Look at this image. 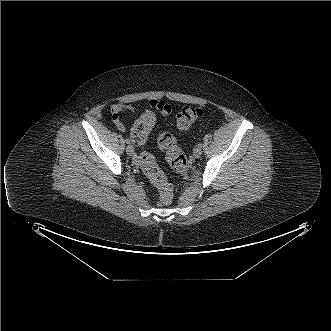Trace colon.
Wrapping results in <instances>:
<instances>
[{"mask_svg":"<svg viewBox=\"0 0 331 331\" xmlns=\"http://www.w3.org/2000/svg\"><path fill=\"white\" fill-rule=\"evenodd\" d=\"M202 116V110L194 106H185L178 112L176 121L181 129L190 127L196 120ZM156 121V115L152 111H145L134 123L132 128V141L136 145L144 144L150 131ZM158 146L165 153L167 161L175 171H184L188 166V160L185 154L180 149L175 137L163 132L158 136ZM140 163L144 174L148 177L151 183L158 189V203L167 205L173 199V189L167 181L166 176L158 167L154 158L143 153L140 157Z\"/></svg>","mask_w":331,"mask_h":331,"instance_id":"obj_1","label":"colon"}]
</instances>
